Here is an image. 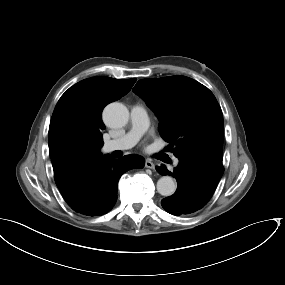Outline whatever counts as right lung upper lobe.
I'll list each match as a JSON object with an SVG mask.
<instances>
[{
    "label": "right lung upper lobe",
    "mask_w": 285,
    "mask_h": 285,
    "mask_svg": "<svg viewBox=\"0 0 285 285\" xmlns=\"http://www.w3.org/2000/svg\"><path fill=\"white\" fill-rule=\"evenodd\" d=\"M136 80V78L117 80L102 76L92 77L76 83L61 96L51 118L48 137L49 154L58 187L93 160L103 156L100 151L85 159L73 158L66 154L52 137V126L57 117L72 115L86 125L105 128L101 119L103 108L126 95Z\"/></svg>",
    "instance_id": "right-lung-upper-lobe-1"
}]
</instances>
